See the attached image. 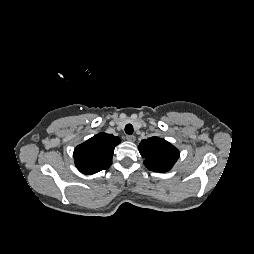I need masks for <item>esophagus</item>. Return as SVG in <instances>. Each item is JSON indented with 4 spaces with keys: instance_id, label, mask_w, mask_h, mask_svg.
I'll return each mask as SVG.
<instances>
[{
    "instance_id": "obj_1",
    "label": "esophagus",
    "mask_w": 254,
    "mask_h": 254,
    "mask_svg": "<svg viewBox=\"0 0 254 254\" xmlns=\"http://www.w3.org/2000/svg\"><path fill=\"white\" fill-rule=\"evenodd\" d=\"M126 139L130 142H134L136 140V137L134 135H127Z\"/></svg>"
}]
</instances>
